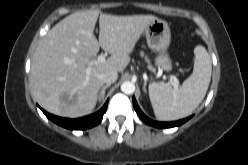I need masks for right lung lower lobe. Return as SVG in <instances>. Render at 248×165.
Wrapping results in <instances>:
<instances>
[{"instance_id":"obj_1","label":"right lung lower lobe","mask_w":248,"mask_h":165,"mask_svg":"<svg viewBox=\"0 0 248 165\" xmlns=\"http://www.w3.org/2000/svg\"><path fill=\"white\" fill-rule=\"evenodd\" d=\"M107 105H108V101L104 104V106L98 112L92 115L85 116L82 118H77V119L61 118V117H57L52 114H49L44 110L42 111L47 116V118H49L51 121H53L54 123L62 127H65L70 130H84V129L96 126L101 122L103 118V114L106 112Z\"/></svg>"}]
</instances>
